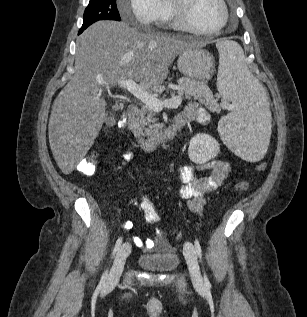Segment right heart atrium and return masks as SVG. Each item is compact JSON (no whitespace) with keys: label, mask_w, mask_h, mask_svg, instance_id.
Instances as JSON below:
<instances>
[{"label":"right heart atrium","mask_w":307,"mask_h":317,"mask_svg":"<svg viewBox=\"0 0 307 317\" xmlns=\"http://www.w3.org/2000/svg\"><path fill=\"white\" fill-rule=\"evenodd\" d=\"M128 6H120V13L124 19L134 18L144 26L161 22L164 16L162 0H125Z\"/></svg>","instance_id":"1"}]
</instances>
